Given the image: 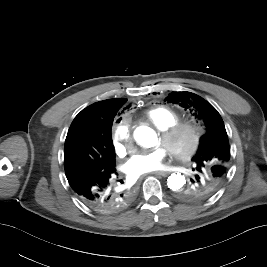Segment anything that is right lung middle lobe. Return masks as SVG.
Segmentation results:
<instances>
[{
  "instance_id": "obj_1",
  "label": "right lung middle lobe",
  "mask_w": 267,
  "mask_h": 267,
  "mask_svg": "<svg viewBox=\"0 0 267 267\" xmlns=\"http://www.w3.org/2000/svg\"><path fill=\"white\" fill-rule=\"evenodd\" d=\"M114 165L115 151L111 130L99 141L94 132L83 125L78 124L69 128L64 152L67 178L89 169L102 171Z\"/></svg>"
}]
</instances>
